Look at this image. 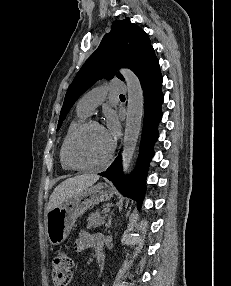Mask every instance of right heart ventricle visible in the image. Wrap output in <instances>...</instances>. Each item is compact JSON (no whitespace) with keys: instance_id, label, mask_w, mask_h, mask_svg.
Masks as SVG:
<instances>
[{"instance_id":"1","label":"right heart ventricle","mask_w":231,"mask_h":286,"mask_svg":"<svg viewBox=\"0 0 231 286\" xmlns=\"http://www.w3.org/2000/svg\"><path fill=\"white\" fill-rule=\"evenodd\" d=\"M87 117L88 115L78 111L76 117L70 122L69 126L67 127V130L61 141L60 148H59V154H58L60 165L64 170H74L71 166H69V164L66 161V157H65L66 144L72 132L79 125H81L84 121H86Z\"/></svg>"}]
</instances>
